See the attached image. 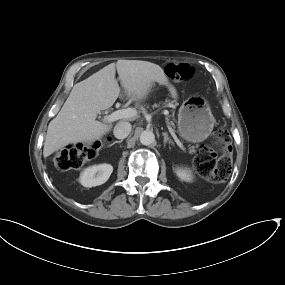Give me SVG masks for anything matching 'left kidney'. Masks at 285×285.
Masks as SVG:
<instances>
[{"label":"left kidney","instance_id":"obj_1","mask_svg":"<svg viewBox=\"0 0 285 285\" xmlns=\"http://www.w3.org/2000/svg\"><path fill=\"white\" fill-rule=\"evenodd\" d=\"M176 174L183 181H192L193 179L192 173L188 168H177Z\"/></svg>","mask_w":285,"mask_h":285}]
</instances>
